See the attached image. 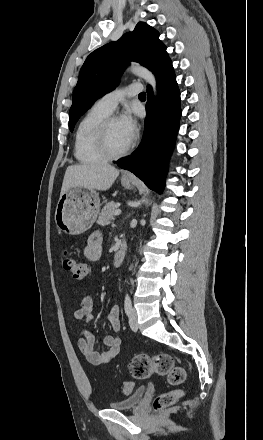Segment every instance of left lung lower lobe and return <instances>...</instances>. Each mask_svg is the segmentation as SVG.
Listing matches in <instances>:
<instances>
[{
  "label": "left lung lower lobe",
  "instance_id": "1",
  "mask_svg": "<svg viewBox=\"0 0 263 440\" xmlns=\"http://www.w3.org/2000/svg\"><path fill=\"white\" fill-rule=\"evenodd\" d=\"M158 96L147 89L145 134L138 149L118 160L117 165L139 177L151 189L161 192L166 175V161L179 129L180 92L172 62L155 71Z\"/></svg>",
  "mask_w": 263,
  "mask_h": 440
}]
</instances>
